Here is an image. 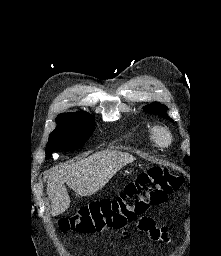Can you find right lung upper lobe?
Segmentation results:
<instances>
[{
    "instance_id": "cb5924a9",
    "label": "right lung upper lobe",
    "mask_w": 221,
    "mask_h": 256,
    "mask_svg": "<svg viewBox=\"0 0 221 256\" xmlns=\"http://www.w3.org/2000/svg\"><path fill=\"white\" fill-rule=\"evenodd\" d=\"M68 114H75V113H62V114H60V115H58V116L68 115Z\"/></svg>"
}]
</instances>
